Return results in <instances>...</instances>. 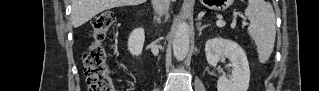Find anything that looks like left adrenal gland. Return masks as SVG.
Returning a JSON list of instances; mask_svg holds the SVG:
<instances>
[{
  "mask_svg": "<svg viewBox=\"0 0 319 91\" xmlns=\"http://www.w3.org/2000/svg\"><path fill=\"white\" fill-rule=\"evenodd\" d=\"M208 26H210V25H209V24L202 25V23L199 22V24H198V26H197V30H198V32H199V35H201V34H202V31H203L205 28H207Z\"/></svg>",
  "mask_w": 319,
  "mask_h": 91,
  "instance_id": "a2214340",
  "label": "left adrenal gland"
}]
</instances>
